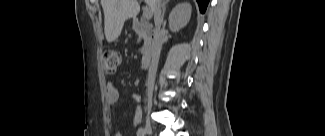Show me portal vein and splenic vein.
<instances>
[{"instance_id":"obj_1","label":"portal vein and splenic vein","mask_w":325,"mask_h":136,"mask_svg":"<svg viewBox=\"0 0 325 136\" xmlns=\"http://www.w3.org/2000/svg\"><path fill=\"white\" fill-rule=\"evenodd\" d=\"M143 17L147 20L151 19L152 18V12L150 11V9L148 8H145L143 10Z\"/></svg>"}]
</instances>
